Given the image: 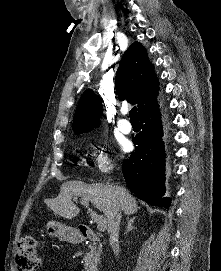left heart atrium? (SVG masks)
Masks as SVG:
<instances>
[{
    "instance_id": "obj_1",
    "label": "left heart atrium",
    "mask_w": 221,
    "mask_h": 271,
    "mask_svg": "<svg viewBox=\"0 0 221 271\" xmlns=\"http://www.w3.org/2000/svg\"><path fill=\"white\" fill-rule=\"evenodd\" d=\"M124 148H127V144L124 145Z\"/></svg>"
}]
</instances>
